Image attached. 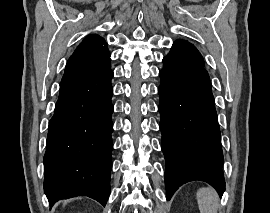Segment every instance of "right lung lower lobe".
<instances>
[{
	"instance_id": "1",
	"label": "right lung lower lobe",
	"mask_w": 270,
	"mask_h": 213,
	"mask_svg": "<svg viewBox=\"0 0 270 213\" xmlns=\"http://www.w3.org/2000/svg\"><path fill=\"white\" fill-rule=\"evenodd\" d=\"M112 77L109 70L60 88L44 155V192L51 206L80 195L103 206L108 200L113 148Z\"/></svg>"
}]
</instances>
